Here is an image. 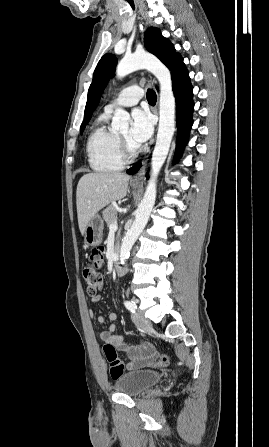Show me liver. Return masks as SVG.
Masks as SVG:
<instances>
[{"mask_svg":"<svg viewBox=\"0 0 269 447\" xmlns=\"http://www.w3.org/2000/svg\"><path fill=\"white\" fill-rule=\"evenodd\" d=\"M130 176L120 172L85 174L78 182L76 192L79 229L84 235L91 218L110 202L122 200L127 194Z\"/></svg>","mask_w":269,"mask_h":447,"instance_id":"1","label":"liver"}]
</instances>
